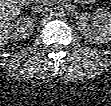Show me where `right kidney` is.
Segmentation results:
<instances>
[{"label": "right kidney", "instance_id": "1", "mask_svg": "<svg viewBox=\"0 0 111 106\" xmlns=\"http://www.w3.org/2000/svg\"><path fill=\"white\" fill-rule=\"evenodd\" d=\"M34 30V20L29 17H20L11 25L10 38L12 40L26 39Z\"/></svg>", "mask_w": 111, "mask_h": 106}]
</instances>
